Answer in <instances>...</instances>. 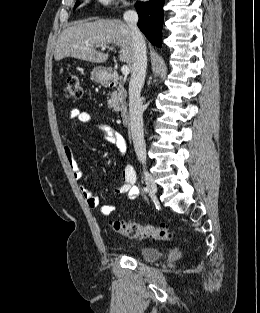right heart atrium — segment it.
<instances>
[{
    "label": "right heart atrium",
    "mask_w": 260,
    "mask_h": 313,
    "mask_svg": "<svg viewBox=\"0 0 260 313\" xmlns=\"http://www.w3.org/2000/svg\"><path fill=\"white\" fill-rule=\"evenodd\" d=\"M98 3L102 6H111L116 5L118 3H125V0H97Z\"/></svg>",
    "instance_id": "d8ad5b80"
}]
</instances>
